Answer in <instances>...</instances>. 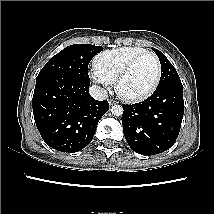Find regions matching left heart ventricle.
<instances>
[{
  "instance_id": "left-heart-ventricle-1",
  "label": "left heart ventricle",
  "mask_w": 214,
  "mask_h": 214,
  "mask_svg": "<svg viewBox=\"0 0 214 214\" xmlns=\"http://www.w3.org/2000/svg\"><path fill=\"white\" fill-rule=\"evenodd\" d=\"M156 71V64L152 57L141 58L123 81L122 92L131 96L146 92L154 83Z\"/></svg>"
}]
</instances>
